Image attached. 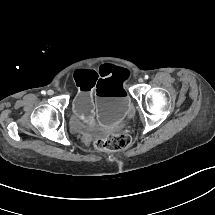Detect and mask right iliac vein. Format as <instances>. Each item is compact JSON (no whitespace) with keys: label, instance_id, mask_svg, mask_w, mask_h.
<instances>
[{"label":"right iliac vein","instance_id":"right-iliac-vein-1","mask_svg":"<svg viewBox=\"0 0 215 215\" xmlns=\"http://www.w3.org/2000/svg\"><path fill=\"white\" fill-rule=\"evenodd\" d=\"M47 94H48V95H53V94H54V91L50 89V90L47 91Z\"/></svg>","mask_w":215,"mask_h":215}]
</instances>
